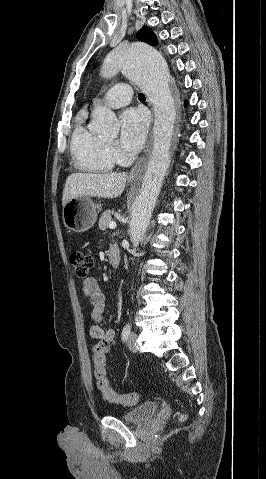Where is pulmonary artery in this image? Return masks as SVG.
<instances>
[{
  "instance_id": "1",
  "label": "pulmonary artery",
  "mask_w": 266,
  "mask_h": 479,
  "mask_svg": "<svg viewBox=\"0 0 266 479\" xmlns=\"http://www.w3.org/2000/svg\"><path fill=\"white\" fill-rule=\"evenodd\" d=\"M132 88L125 83H119L108 89L100 98L95 101V105L104 104L112 108H120L129 104L132 98Z\"/></svg>"
}]
</instances>
